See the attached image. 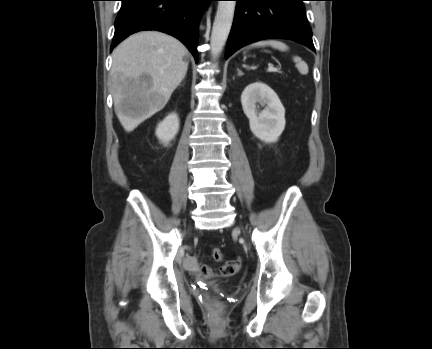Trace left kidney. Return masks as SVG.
I'll list each match as a JSON object with an SVG mask.
<instances>
[{
	"instance_id": "5707ae66",
	"label": "left kidney",
	"mask_w": 432,
	"mask_h": 349,
	"mask_svg": "<svg viewBox=\"0 0 432 349\" xmlns=\"http://www.w3.org/2000/svg\"><path fill=\"white\" fill-rule=\"evenodd\" d=\"M251 132L265 143H275L285 128V109L273 89L261 81L249 84L241 95ZM267 105L258 112L256 104Z\"/></svg>"
}]
</instances>
